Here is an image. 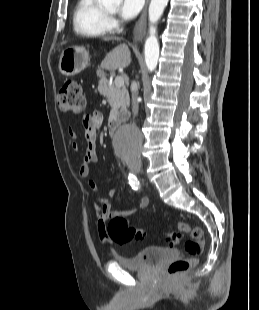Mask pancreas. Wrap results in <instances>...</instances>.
<instances>
[{"instance_id": "pancreas-1", "label": "pancreas", "mask_w": 259, "mask_h": 310, "mask_svg": "<svg viewBox=\"0 0 259 310\" xmlns=\"http://www.w3.org/2000/svg\"><path fill=\"white\" fill-rule=\"evenodd\" d=\"M98 91L106 97L111 106L109 122L122 121L127 117L129 106V94L125 87L119 88L110 85L109 80L103 77L99 80Z\"/></svg>"}]
</instances>
